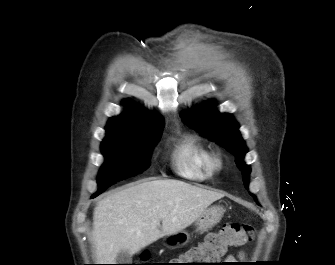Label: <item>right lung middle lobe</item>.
<instances>
[{"instance_id":"dd1d6c3e","label":"right lung middle lobe","mask_w":335,"mask_h":265,"mask_svg":"<svg viewBox=\"0 0 335 265\" xmlns=\"http://www.w3.org/2000/svg\"><path fill=\"white\" fill-rule=\"evenodd\" d=\"M159 128L120 129L109 133L101 144L105 163L98 173V190L104 192L116 181L135 176L149 167L151 150L159 140Z\"/></svg>"}]
</instances>
